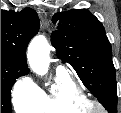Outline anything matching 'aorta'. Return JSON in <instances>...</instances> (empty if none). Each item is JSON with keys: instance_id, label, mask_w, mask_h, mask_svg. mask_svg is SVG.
I'll use <instances>...</instances> for the list:
<instances>
[{"instance_id": "aorta-1", "label": "aorta", "mask_w": 121, "mask_h": 113, "mask_svg": "<svg viewBox=\"0 0 121 113\" xmlns=\"http://www.w3.org/2000/svg\"><path fill=\"white\" fill-rule=\"evenodd\" d=\"M50 47L47 39L38 35L29 44L27 58L33 72L37 75H45L50 64Z\"/></svg>"}]
</instances>
